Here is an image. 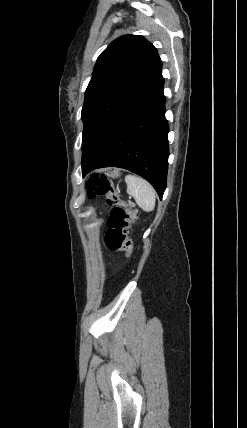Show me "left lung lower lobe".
<instances>
[{
    "instance_id": "1",
    "label": "left lung lower lobe",
    "mask_w": 247,
    "mask_h": 428,
    "mask_svg": "<svg viewBox=\"0 0 247 428\" xmlns=\"http://www.w3.org/2000/svg\"><path fill=\"white\" fill-rule=\"evenodd\" d=\"M163 86L160 73L111 116L82 161L83 177L96 168H124L150 182L162 199L169 156Z\"/></svg>"
}]
</instances>
